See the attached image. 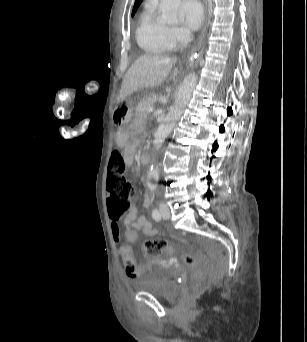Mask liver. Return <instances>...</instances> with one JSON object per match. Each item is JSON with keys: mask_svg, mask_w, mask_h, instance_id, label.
I'll use <instances>...</instances> for the list:
<instances>
[{"mask_svg": "<svg viewBox=\"0 0 307 342\" xmlns=\"http://www.w3.org/2000/svg\"><path fill=\"white\" fill-rule=\"evenodd\" d=\"M177 60L162 56V54H143L139 56L131 68L127 70L119 92V100H125L127 96L137 92L140 88L161 86L168 74L171 78L177 76L178 68H173Z\"/></svg>", "mask_w": 307, "mask_h": 342, "instance_id": "obj_1", "label": "liver"}]
</instances>
